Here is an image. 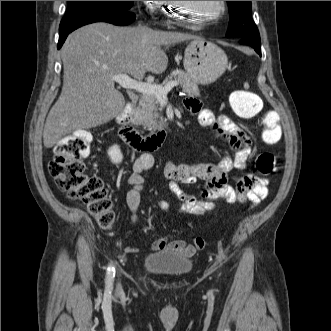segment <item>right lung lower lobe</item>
<instances>
[{
	"mask_svg": "<svg viewBox=\"0 0 331 331\" xmlns=\"http://www.w3.org/2000/svg\"><path fill=\"white\" fill-rule=\"evenodd\" d=\"M134 20H135V14H133L132 12H129V11L111 13V14H106V15H99V16L92 17V18H89L86 20H82L78 23H75V24L67 27L64 30L59 31L58 49H60V47L64 43L68 34L81 26H84V25H87L90 23H94V22H107V23H111L114 25H118V26H125V25L132 23Z\"/></svg>",
	"mask_w": 331,
	"mask_h": 331,
	"instance_id": "98d812e1",
	"label": "right lung lower lobe"
}]
</instances>
